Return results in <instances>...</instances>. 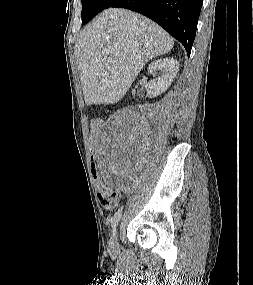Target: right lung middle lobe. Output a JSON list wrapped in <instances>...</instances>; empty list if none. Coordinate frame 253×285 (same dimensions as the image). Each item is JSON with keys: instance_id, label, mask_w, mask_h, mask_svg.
Masks as SVG:
<instances>
[{"instance_id": "1", "label": "right lung middle lobe", "mask_w": 253, "mask_h": 285, "mask_svg": "<svg viewBox=\"0 0 253 285\" xmlns=\"http://www.w3.org/2000/svg\"><path fill=\"white\" fill-rule=\"evenodd\" d=\"M117 0H81L82 2V24L87 23L93 16L104 9L109 8Z\"/></svg>"}]
</instances>
